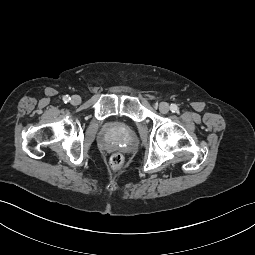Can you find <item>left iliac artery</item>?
Here are the masks:
<instances>
[{
  "instance_id": "1",
  "label": "left iliac artery",
  "mask_w": 255,
  "mask_h": 255,
  "mask_svg": "<svg viewBox=\"0 0 255 255\" xmlns=\"http://www.w3.org/2000/svg\"><path fill=\"white\" fill-rule=\"evenodd\" d=\"M170 110L175 113V112H178L179 111V108L176 104H171L170 106Z\"/></svg>"
}]
</instances>
